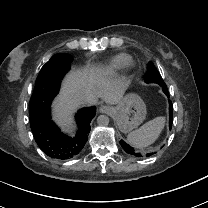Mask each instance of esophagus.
<instances>
[{"label": "esophagus", "mask_w": 208, "mask_h": 208, "mask_svg": "<svg viewBox=\"0 0 208 208\" xmlns=\"http://www.w3.org/2000/svg\"><path fill=\"white\" fill-rule=\"evenodd\" d=\"M99 111L101 112V113H105V114H111V108L110 107H108V106H101L100 108H99Z\"/></svg>", "instance_id": "obj_1"}]
</instances>
